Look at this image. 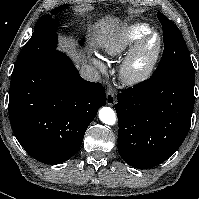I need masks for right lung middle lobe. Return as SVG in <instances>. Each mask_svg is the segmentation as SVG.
Returning <instances> with one entry per match:
<instances>
[{
    "label": "right lung middle lobe",
    "instance_id": "obj_1",
    "mask_svg": "<svg viewBox=\"0 0 199 199\" xmlns=\"http://www.w3.org/2000/svg\"><path fill=\"white\" fill-rule=\"evenodd\" d=\"M67 8V5L52 9L37 21L30 40L23 46L13 69L11 77L23 72L33 63L55 51L57 45L58 25L53 17Z\"/></svg>",
    "mask_w": 199,
    "mask_h": 199
}]
</instances>
